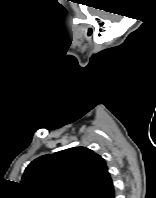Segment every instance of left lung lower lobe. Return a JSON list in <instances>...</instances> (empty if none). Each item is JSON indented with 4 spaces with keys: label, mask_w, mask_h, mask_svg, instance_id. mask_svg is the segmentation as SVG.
<instances>
[{
    "label": "left lung lower lobe",
    "mask_w": 156,
    "mask_h": 198,
    "mask_svg": "<svg viewBox=\"0 0 156 198\" xmlns=\"http://www.w3.org/2000/svg\"><path fill=\"white\" fill-rule=\"evenodd\" d=\"M91 198H115V190L112 180Z\"/></svg>",
    "instance_id": "1"
}]
</instances>
